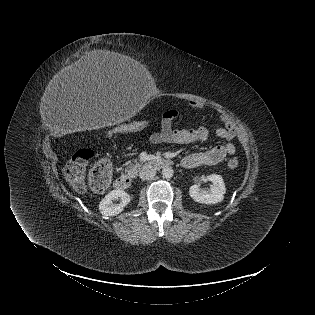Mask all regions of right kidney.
<instances>
[{
    "label": "right kidney",
    "instance_id": "1",
    "mask_svg": "<svg viewBox=\"0 0 315 315\" xmlns=\"http://www.w3.org/2000/svg\"><path fill=\"white\" fill-rule=\"evenodd\" d=\"M120 202L115 204L114 201ZM131 198L128 193L123 190H112L99 203L100 213L104 216H115L123 211V208L129 204Z\"/></svg>",
    "mask_w": 315,
    "mask_h": 315
}]
</instances>
